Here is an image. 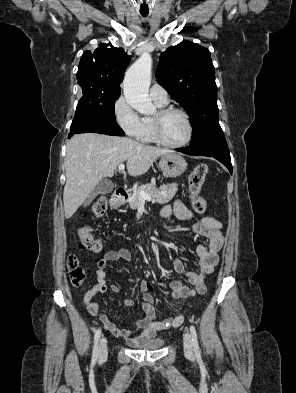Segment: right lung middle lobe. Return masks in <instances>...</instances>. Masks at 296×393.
I'll return each mask as SVG.
<instances>
[{
	"label": "right lung middle lobe",
	"instance_id": "1",
	"mask_svg": "<svg viewBox=\"0 0 296 393\" xmlns=\"http://www.w3.org/2000/svg\"><path fill=\"white\" fill-rule=\"evenodd\" d=\"M120 93L112 94H85L79 100L76 112L90 113L98 115L108 121L116 122L115 118V100L119 98Z\"/></svg>",
	"mask_w": 296,
	"mask_h": 393
}]
</instances>
